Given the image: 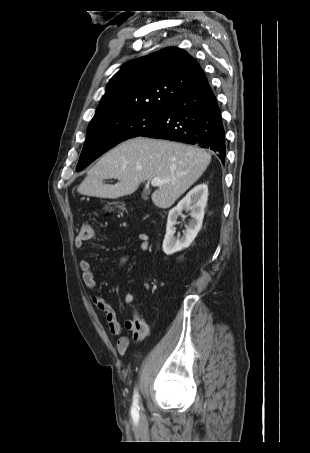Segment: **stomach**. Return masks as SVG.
I'll list each match as a JSON object with an SVG mask.
<instances>
[{"mask_svg": "<svg viewBox=\"0 0 310 453\" xmlns=\"http://www.w3.org/2000/svg\"><path fill=\"white\" fill-rule=\"evenodd\" d=\"M104 211L110 212V211H111V208H109V207L106 206V207L104 208Z\"/></svg>", "mask_w": 310, "mask_h": 453, "instance_id": "obj_1", "label": "stomach"}]
</instances>
